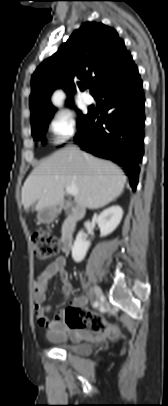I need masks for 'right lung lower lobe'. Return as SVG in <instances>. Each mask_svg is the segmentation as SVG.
Returning a JSON list of instances; mask_svg holds the SVG:
<instances>
[{
    "label": "right lung lower lobe",
    "instance_id": "1",
    "mask_svg": "<svg viewBox=\"0 0 168 406\" xmlns=\"http://www.w3.org/2000/svg\"><path fill=\"white\" fill-rule=\"evenodd\" d=\"M94 97L101 101L102 108L90 111L74 141L82 150L122 166L135 190L144 152L145 121V98L137 67L103 87Z\"/></svg>",
    "mask_w": 168,
    "mask_h": 406
}]
</instances>
